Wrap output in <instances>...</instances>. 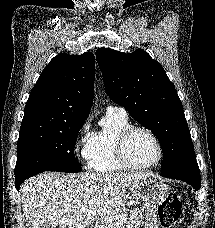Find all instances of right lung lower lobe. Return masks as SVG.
Listing matches in <instances>:
<instances>
[{
	"label": "right lung lower lobe",
	"mask_w": 215,
	"mask_h": 228,
	"mask_svg": "<svg viewBox=\"0 0 215 228\" xmlns=\"http://www.w3.org/2000/svg\"><path fill=\"white\" fill-rule=\"evenodd\" d=\"M41 172H44V171H35V172H29V173H24V174H21V175H18L16 176L15 178V186H16V189L19 190L20 188V185L22 184V182L34 175H37Z\"/></svg>",
	"instance_id": "1"
}]
</instances>
